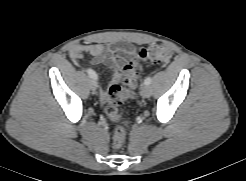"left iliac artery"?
Here are the masks:
<instances>
[{"label":"left iliac artery","instance_id":"left-iliac-artery-1","mask_svg":"<svg viewBox=\"0 0 246 181\" xmlns=\"http://www.w3.org/2000/svg\"><path fill=\"white\" fill-rule=\"evenodd\" d=\"M152 79L151 77H147L145 80H144V84L146 85H149L151 83Z\"/></svg>","mask_w":246,"mask_h":181}]
</instances>
